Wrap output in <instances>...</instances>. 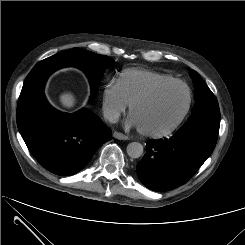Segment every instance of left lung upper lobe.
<instances>
[{
    "label": "left lung upper lobe",
    "instance_id": "5c2ea615",
    "mask_svg": "<svg viewBox=\"0 0 245 245\" xmlns=\"http://www.w3.org/2000/svg\"><path fill=\"white\" fill-rule=\"evenodd\" d=\"M190 75L194 81L196 103L191 116L179 130L203 128L219 133L220 111L217 99L196 71L190 70Z\"/></svg>",
    "mask_w": 245,
    "mask_h": 245
}]
</instances>
